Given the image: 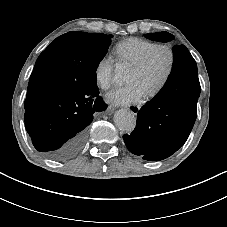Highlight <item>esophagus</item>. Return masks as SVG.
I'll return each mask as SVG.
<instances>
[{
  "mask_svg": "<svg viewBox=\"0 0 227 227\" xmlns=\"http://www.w3.org/2000/svg\"><path fill=\"white\" fill-rule=\"evenodd\" d=\"M129 111H131L133 114H137L140 110V106L138 105H126L125 106ZM112 111V110H111Z\"/></svg>",
  "mask_w": 227,
  "mask_h": 227,
  "instance_id": "1",
  "label": "esophagus"
}]
</instances>
